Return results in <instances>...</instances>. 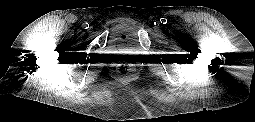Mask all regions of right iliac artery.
<instances>
[{
	"label": "right iliac artery",
	"mask_w": 255,
	"mask_h": 122,
	"mask_svg": "<svg viewBox=\"0 0 255 122\" xmlns=\"http://www.w3.org/2000/svg\"><path fill=\"white\" fill-rule=\"evenodd\" d=\"M83 27H84L85 29H88V28H89V24L86 22V23L83 24Z\"/></svg>",
	"instance_id": "obj_1"
}]
</instances>
